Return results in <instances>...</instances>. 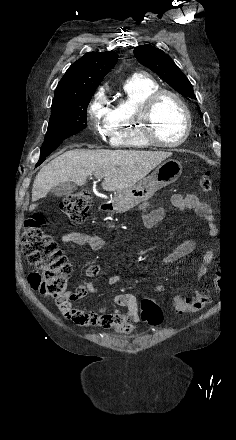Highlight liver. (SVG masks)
Segmentation results:
<instances>
[{"instance_id": "liver-1", "label": "liver", "mask_w": 236, "mask_h": 440, "mask_svg": "<svg viewBox=\"0 0 236 440\" xmlns=\"http://www.w3.org/2000/svg\"><path fill=\"white\" fill-rule=\"evenodd\" d=\"M171 155V152L163 151L69 150L39 171L33 183L32 201L46 197L53 187L64 182L82 186L91 175L104 178V190L123 191L142 180ZM36 207L37 204H31L29 210Z\"/></svg>"}]
</instances>
